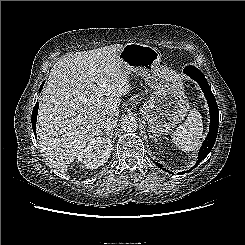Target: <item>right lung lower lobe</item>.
<instances>
[{"mask_svg": "<svg viewBox=\"0 0 245 245\" xmlns=\"http://www.w3.org/2000/svg\"><path fill=\"white\" fill-rule=\"evenodd\" d=\"M43 87V84L41 85L40 89ZM38 107H39V104L36 103L35 104V107L33 108V111H32V129H33V132L34 134L36 135V121H37V113H38Z\"/></svg>", "mask_w": 245, "mask_h": 245, "instance_id": "98d812e1", "label": "right lung lower lobe"}]
</instances>
